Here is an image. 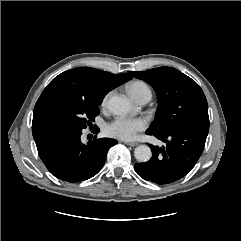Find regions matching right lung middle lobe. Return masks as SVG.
Masks as SVG:
<instances>
[{"instance_id":"right-lung-middle-lobe-1","label":"right lung middle lobe","mask_w":241,"mask_h":241,"mask_svg":"<svg viewBox=\"0 0 241 241\" xmlns=\"http://www.w3.org/2000/svg\"><path fill=\"white\" fill-rule=\"evenodd\" d=\"M102 100L82 98L64 91L41 95L34 107L32 131L56 126L84 129L99 114Z\"/></svg>"}]
</instances>
